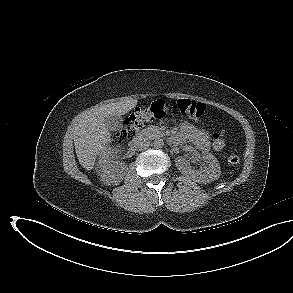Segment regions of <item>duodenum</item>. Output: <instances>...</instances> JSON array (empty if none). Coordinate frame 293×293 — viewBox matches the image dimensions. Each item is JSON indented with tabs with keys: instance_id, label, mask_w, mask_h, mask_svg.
I'll return each instance as SVG.
<instances>
[{
	"instance_id": "410a0bca",
	"label": "duodenum",
	"mask_w": 293,
	"mask_h": 293,
	"mask_svg": "<svg viewBox=\"0 0 293 293\" xmlns=\"http://www.w3.org/2000/svg\"><path fill=\"white\" fill-rule=\"evenodd\" d=\"M142 141V137L140 135H136L131 141H130V149H136Z\"/></svg>"
}]
</instances>
